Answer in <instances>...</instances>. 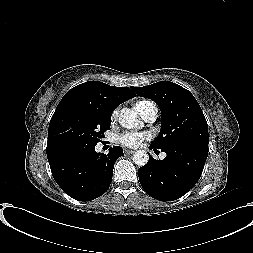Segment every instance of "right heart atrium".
Here are the masks:
<instances>
[{
	"label": "right heart atrium",
	"instance_id": "1",
	"mask_svg": "<svg viewBox=\"0 0 253 253\" xmlns=\"http://www.w3.org/2000/svg\"><path fill=\"white\" fill-rule=\"evenodd\" d=\"M116 114H117V112H116V111H114V113H113V117H115V116H116Z\"/></svg>",
	"mask_w": 253,
	"mask_h": 253
}]
</instances>
